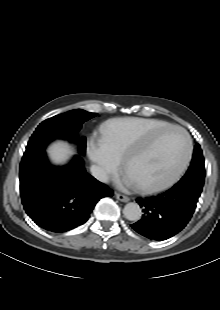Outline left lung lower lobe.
Instances as JSON below:
<instances>
[{
    "label": "left lung lower lobe",
    "mask_w": 220,
    "mask_h": 310,
    "mask_svg": "<svg viewBox=\"0 0 220 310\" xmlns=\"http://www.w3.org/2000/svg\"><path fill=\"white\" fill-rule=\"evenodd\" d=\"M202 188L193 184H175L154 197L137 199L144 214L131 227L155 240L168 239L180 232L191 219Z\"/></svg>",
    "instance_id": "0a47b994"
}]
</instances>
